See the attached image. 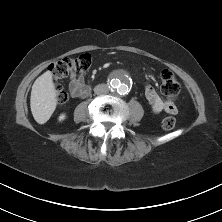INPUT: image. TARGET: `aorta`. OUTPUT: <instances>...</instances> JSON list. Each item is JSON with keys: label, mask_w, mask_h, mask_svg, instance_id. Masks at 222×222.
Wrapping results in <instances>:
<instances>
[{"label": "aorta", "mask_w": 222, "mask_h": 222, "mask_svg": "<svg viewBox=\"0 0 222 222\" xmlns=\"http://www.w3.org/2000/svg\"><path fill=\"white\" fill-rule=\"evenodd\" d=\"M131 86V78L129 75L124 72H118L115 76H113L110 80L111 89L118 93L119 95H125L130 91Z\"/></svg>", "instance_id": "762f6f07"}]
</instances>
